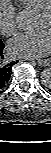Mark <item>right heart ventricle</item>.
Masks as SVG:
<instances>
[{"label":"right heart ventricle","instance_id":"right-heart-ventricle-1","mask_svg":"<svg viewBox=\"0 0 51 153\" xmlns=\"http://www.w3.org/2000/svg\"><path fill=\"white\" fill-rule=\"evenodd\" d=\"M27 5L37 12H41L51 6V0H25Z\"/></svg>","mask_w":51,"mask_h":153}]
</instances>
